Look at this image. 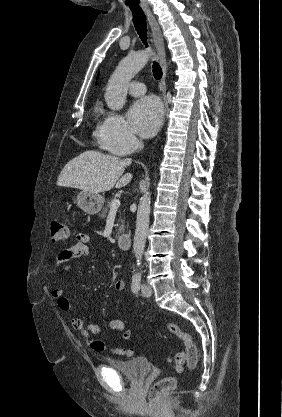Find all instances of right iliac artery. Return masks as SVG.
<instances>
[{
  "label": "right iliac artery",
  "instance_id": "obj_1",
  "mask_svg": "<svg viewBox=\"0 0 282 417\" xmlns=\"http://www.w3.org/2000/svg\"><path fill=\"white\" fill-rule=\"evenodd\" d=\"M140 288V279L135 278L132 281L131 290L133 293H137Z\"/></svg>",
  "mask_w": 282,
  "mask_h": 417
}]
</instances>
